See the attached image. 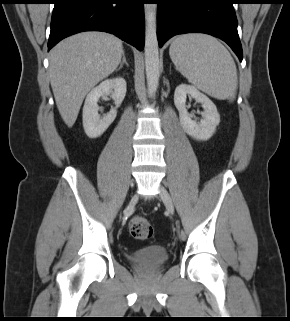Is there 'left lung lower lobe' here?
<instances>
[{
	"mask_svg": "<svg viewBox=\"0 0 290 321\" xmlns=\"http://www.w3.org/2000/svg\"><path fill=\"white\" fill-rule=\"evenodd\" d=\"M158 4L159 47L171 37L191 32L206 33L225 41L242 61L237 32L235 0H155Z\"/></svg>",
	"mask_w": 290,
	"mask_h": 321,
	"instance_id": "obj_1",
	"label": "left lung lower lobe"
}]
</instances>
